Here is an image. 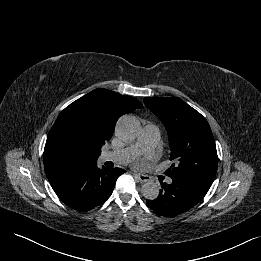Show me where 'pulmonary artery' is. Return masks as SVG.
<instances>
[{"mask_svg":"<svg viewBox=\"0 0 261 261\" xmlns=\"http://www.w3.org/2000/svg\"><path fill=\"white\" fill-rule=\"evenodd\" d=\"M160 140V129L155 124H147L143 127L141 134L135 144L117 151L105 152L101 155L102 162L112 161L116 164H127L140 153H151ZM169 184L172 179H167Z\"/></svg>","mask_w":261,"mask_h":261,"instance_id":"1","label":"pulmonary artery"}]
</instances>
